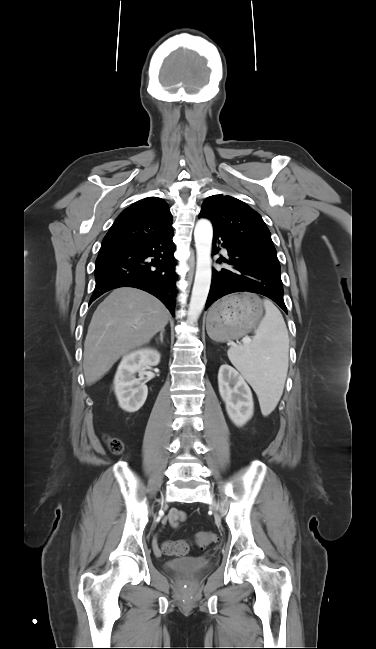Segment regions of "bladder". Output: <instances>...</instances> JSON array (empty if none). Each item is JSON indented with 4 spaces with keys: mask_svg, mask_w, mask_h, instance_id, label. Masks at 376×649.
Here are the masks:
<instances>
[{
    "mask_svg": "<svg viewBox=\"0 0 376 649\" xmlns=\"http://www.w3.org/2000/svg\"><path fill=\"white\" fill-rule=\"evenodd\" d=\"M210 561L201 558H181L168 561L164 568L170 571H182L188 575L196 576L209 568Z\"/></svg>",
    "mask_w": 376,
    "mask_h": 649,
    "instance_id": "31cf9c89",
    "label": "bladder"
}]
</instances>
